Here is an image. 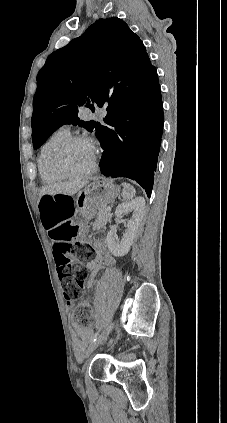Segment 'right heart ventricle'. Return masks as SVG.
Here are the masks:
<instances>
[{
  "label": "right heart ventricle",
  "mask_w": 227,
  "mask_h": 423,
  "mask_svg": "<svg viewBox=\"0 0 227 423\" xmlns=\"http://www.w3.org/2000/svg\"><path fill=\"white\" fill-rule=\"evenodd\" d=\"M69 135L66 129L57 130L43 142L39 149L37 167L41 180L45 184L56 183L62 179V177L54 172L49 166L48 157L54 146Z\"/></svg>",
  "instance_id": "right-heart-ventricle-1"
}]
</instances>
